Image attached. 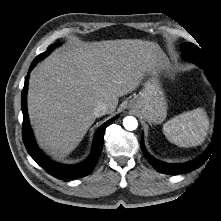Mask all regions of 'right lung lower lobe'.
<instances>
[{
  "instance_id": "1",
  "label": "right lung lower lobe",
  "mask_w": 221,
  "mask_h": 221,
  "mask_svg": "<svg viewBox=\"0 0 221 221\" xmlns=\"http://www.w3.org/2000/svg\"><path fill=\"white\" fill-rule=\"evenodd\" d=\"M43 58L37 56L32 62L28 74L25 79L24 88L22 91V112H23V125H22V136L23 141L26 146V149L30 156L39 164L47 173L52 175L57 179H77L84 177L90 174L101 154L103 147V136L105 129L108 125H110L117 117L107 121L103 124L96 132L91 155L84 162L76 164V165H65L53 162L48 157H46L37 147L36 142L34 140L29 120L27 114V105H26V95H27V85L29 79V72L31 69Z\"/></svg>"
}]
</instances>
